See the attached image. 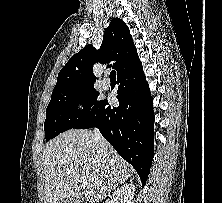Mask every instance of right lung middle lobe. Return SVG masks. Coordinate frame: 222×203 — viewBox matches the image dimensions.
Segmentation results:
<instances>
[{
    "instance_id": "dd1d6c3e",
    "label": "right lung middle lobe",
    "mask_w": 222,
    "mask_h": 203,
    "mask_svg": "<svg viewBox=\"0 0 222 203\" xmlns=\"http://www.w3.org/2000/svg\"><path fill=\"white\" fill-rule=\"evenodd\" d=\"M98 95L94 85L52 92L44 123L46 141L74 128L86 119L102 102L97 100ZM78 104L84 105L83 111L77 108Z\"/></svg>"
}]
</instances>
